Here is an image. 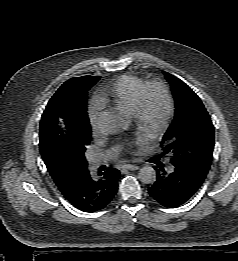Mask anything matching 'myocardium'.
<instances>
[{"instance_id":"1","label":"myocardium","mask_w":238,"mask_h":261,"mask_svg":"<svg viewBox=\"0 0 238 261\" xmlns=\"http://www.w3.org/2000/svg\"><path fill=\"white\" fill-rule=\"evenodd\" d=\"M155 88L160 89L163 93L165 99V110L160 121L149 132L150 138L158 137L168 128L174 112V99L169 85L163 79H152L146 82L140 90L136 108L132 113L133 120L137 127L140 129H144L146 127L148 97L150 92Z\"/></svg>"}]
</instances>
